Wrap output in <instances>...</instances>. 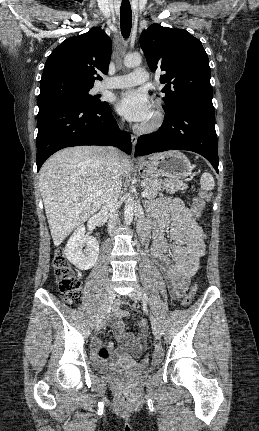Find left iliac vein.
I'll return each instance as SVG.
<instances>
[{
	"label": "left iliac vein",
	"mask_w": 259,
	"mask_h": 431,
	"mask_svg": "<svg viewBox=\"0 0 259 431\" xmlns=\"http://www.w3.org/2000/svg\"><path fill=\"white\" fill-rule=\"evenodd\" d=\"M129 297L135 301H140L142 299L140 287L135 286L134 289L129 293ZM151 325L155 338L159 340L162 336V332L158 321L155 318H152Z\"/></svg>",
	"instance_id": "obj_1"
}]
</instances>
